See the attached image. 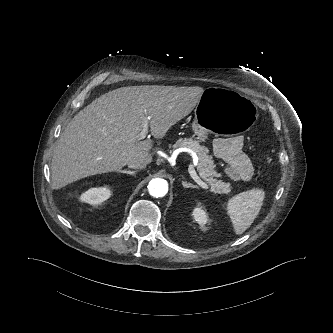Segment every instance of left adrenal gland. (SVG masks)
<instances>
[{"label": "left adrenal gland", "mask_w": 333, "mask_h": 333, "mask_svg": "<svg viewBox=\"0 0 333 333\" xmlns=\"http://www.w3.org/2000/svg\"><path fill=\"white\" fill-rule=\"evenodd\" d=\"M182 185L184 188H199L197 185H193L192 183L190 182H186V181H182Z\"/></svg>", "instance_id": "left-adrenal-gland-1"}]
</instances>
